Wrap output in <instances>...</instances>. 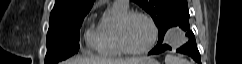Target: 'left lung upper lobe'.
Masks as SVG:
<instances>
[{
	"label": "left lung upper lobe",
	"instance_id": "1",
	"mask_svg": "<svg viewBox=\"0 0 242 64\" xmlns=\"http://www.w3.org/2000/svg\"><path fill=\"white\" fill-rule=\"evenodd\" d=\"M153 18L158 27L159 39L163 43L166 31L189 20L187 0H133Z\"/></svg>",
	"mask_w": 242,
	"mask_h": 64
}]
</instances>
